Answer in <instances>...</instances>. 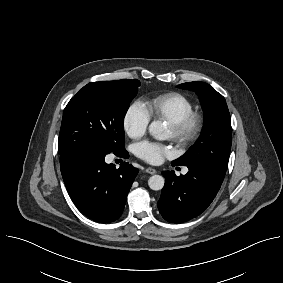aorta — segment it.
<instances>
[{
    "label": "aorta",
    "instance_id": "aorta-1",
    "mask_svg": "<svg viewBox=\"0 0 283 283\" xmlns=\"http://www.w3.org/2000/svg\"><path fill=\"white\" fill-rule=\"evenodd\" d=\"M149 133L157 140H165L166 129L160 121H153L149 125ZM165 180L160 175H153L148 180L150 189L158 191L164 187Z\"/></svg>",
    "mask_w": 283,
    "mask_h": 283
}]
</instances>
